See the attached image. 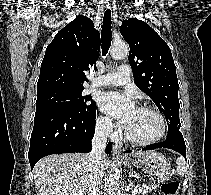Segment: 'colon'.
Segmentation results:
<instances>
[{
	"label": "colon",
	"instance_id": "colon-1",
	"mask_svg": "<svg viewBox=\"0 0 211 195\" xmlns=\"http://www.w3.org/2000/svg\"><path fill=\"white\" fill-rule=\"evenodd\" d=\"M178 188V182L172 181L162 184L161 191L164 193V195H175L178 191Z\"/></svg>",
	"mask_w": 211,
	"mask_h": 195
}]
</instances>
